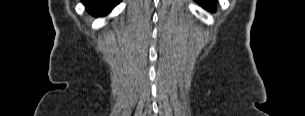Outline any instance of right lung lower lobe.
<instances>
[{
	"instance_id": "right-lung-lower-lobe-1",
	"label": "right lung lower lobe",
	"mask_w": 305,
	"mask_h": 116,
	"mask_svg": "<svg viewBox=\"0 0 305 116\" xmlns=\"http://www.w3.org/2000/svg\"><path fill=\"white\" fill-rule=\"evenodd\" d=\"M121 0H83L86 10L94 16H102L109 13Z\"/></svg>"
}]
</instances>
